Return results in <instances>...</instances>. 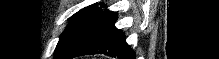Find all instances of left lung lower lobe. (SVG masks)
<instances>
[{"instance_id":"left-lung-lower-lobe-1","label":"left lung lower lobe","mask_w":219,"mask_h":59,"mask_svg":"<svg viewBox=\"0 0 219 59\" xmlns=\"http://www.w3.org/2000/svg\"><path fill=\"white\" fill-rule=\"evenodd\" d=\"M117 18L115 12L106 10L91 34L66 59L91 54L135 59V52L127 45L125 34L114 26Z\"/></svg>"}]
</instances>
